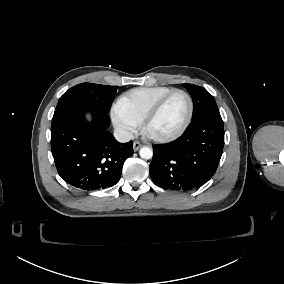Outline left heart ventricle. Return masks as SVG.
Masks as SVG:
<instances>
[{"mask_svg":"<svg viewBox=\"0 0 284 284\" xmlns=\"http://www.w3.org/2000/svg\"><path fill=\"white\" fill-rule=\"evenodd\" d=\"M189 112V103L184 94L172 95L162 110L149 122L147 131L155 137L174 134L185 122Z\"/></svg>","mask_w":284,"mask_h":284,"instance_id":"1","label":"left heart ventricle"}]
</instances>
